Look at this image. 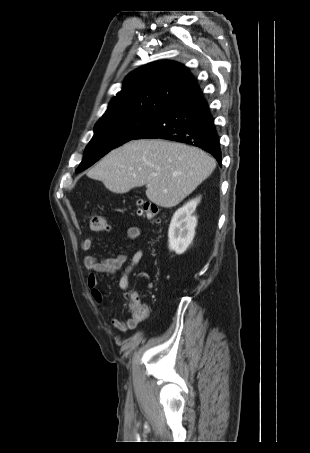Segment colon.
<instances>
[{
    "label": "colon",
    "instance_id": "5ec220e1",
    "mask_svg": "<svg viewBox=\"0 0 310 453\" xmlns=\"http://www.w3.org/2000/svg\"><path fill=\"white\" fill-rule=\"evenodd\" d=\"M138 214L152 222H159V208L155 203L149 201L138 202ZM90 228L94 232H103L109 229L108 220L105 215L95 213L90 218ZM131 314L137 318H146L148 315L147 306L141 302L139 296L134 294L130 299Z\"/></svg>",
    "mask_w": 310,
    "mask_h": 453
}]
</instances>
